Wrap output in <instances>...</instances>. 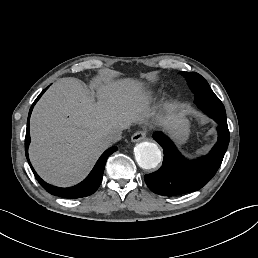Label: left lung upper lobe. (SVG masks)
I'll return each mask as SVG.
<instances>
[{
	"label": "left lung upper lobe",
	"instance_id": "obj_1",
	"mask_svg": "<svg viewBox=\"0 0 258 258\" xmlns=\"http://www.w3.org/2000/svg\"><path fill=\"white\" fill-rule=\"evenodd\" d=\"M181 74L185 77L191 91H194L198 88H208L210 87L207 81L196 72H181Z\"/></svg>",
	"mask_w": 258,
	"mask_h": 258
}]
</instances>
